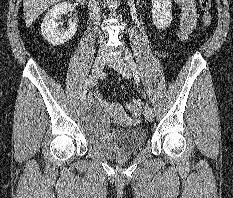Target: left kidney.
I'll return each mask as SVG.
<instances>
[{"instance_id": "1", "label": "left kidney", "mask_w": 233, "mask_h": 198, "mask_svg": "<svg viewBox=\"0 0 233 198\" xmlns=\"http://www.w3.org/2000/svg\"><path fill=\"white\" fill-rule=\"evenodd\" d=\"M152 19L157 29L167 28L172 21L171 0H152Z\"/></svg>"}]
</instances>
